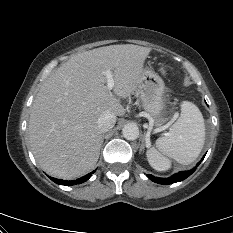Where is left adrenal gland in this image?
Segmentation results:
<instances>
[{
    "label": "left adrenal gland",
    "instance_id": "left-adrenal-gland-1",
    "mask_svg": "<svg viewBox=\"0 0 233 233\" xmlns=\"http://www.w3.org/2000/svg\"><path fill=\"white\" fill-rule=\"evenodd\" d=\"M144 147H145V145H144V143H142L141 148H140V152L144 151Z\"/></svg>",
    "mask_w": 233,
    "mask_h": 233
}]
</instances>
